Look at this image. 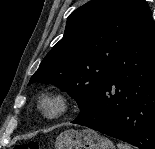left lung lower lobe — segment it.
Segmentation results:
<instances>
[{
  "label": "left lung lower lobe",
  "mask_w": 155,
  "mask_h": 149,
  "mask_svg": "<svg viewBox=\"0 0 155 149\" xmlns=\"http://www.w3.org/2000/svg\"><path fill=\"white\" fill-rule=\"evenodd\" d=\"M115 90L111 93V87ZM74 124L155 149V24L146 14Z\"/></svg>",
  "instance_id": "left-lung-lower-lobe-1"
}]
</instances>
